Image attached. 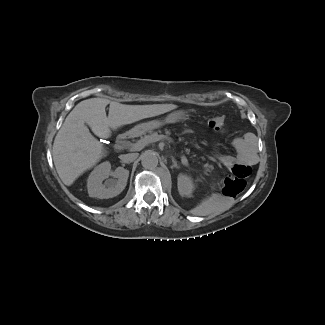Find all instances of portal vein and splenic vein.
<instances>
[{"instance_id": "1", "label": "portal vein and splenic vein", "mask_w": 325, "mask_h": 325, "mask_svg": "<svg viewBox=\"0 0 325 325\" xmlns=\"http://www.w3.org/2000/svg\"><path fill=\"white\" fill-rule=\"evenodd\" d=\"M165 138H167L165 135H159L158 138H157V140H161V139H165ZM151 142H154V138H152V137L148 138L145 141H140V142L131 144L130 145V150H134V151L141 150L146 144L151 143ZM181 161L185 165L188 164V161L185 158V156H182L181 157Z\"/></svg>"}]
</instances>
